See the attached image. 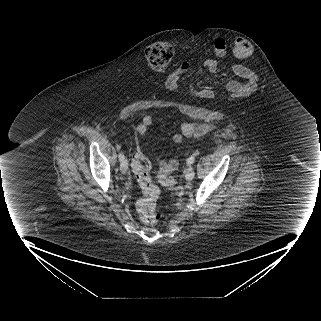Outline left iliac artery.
<instances>
[{
    "label": "left iliac artery",
    "mask_w": 321,
    "mask_h": 321,
    "mask_svg": "<svg viewBox=\"0 0 321 321\" xmlns=\"http://www.w3.org/2000/svg\"><path fill=\"white\" fill-rule=\"evenodd\" d=\"M194 161H195V157H194V156H191V157H189V158L187 159V164H188V165H191V164L194 163Z\"/></svg>",
    "instance_id": "1"
}]
</instances>
